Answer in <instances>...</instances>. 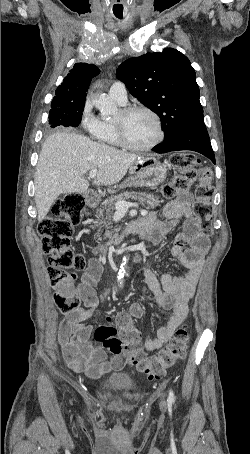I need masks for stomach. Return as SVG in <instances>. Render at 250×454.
Instances as JSON below:
<instances>
[{"instance_id": "1", "label": "stomach", "mask_w": 250, "mask_h": 454, "mask_svg": "<svg viewBox=\"0 0 250 454\" xmlns=\"http://www.w3.org/2000/svg\"><path fill=\"white\" fill-rule=\"evenodd\" d=\"M167 165L151 156L137 159L130 167V184L133 186H156L164 181Z\"/></svg>"}]
</instances>
